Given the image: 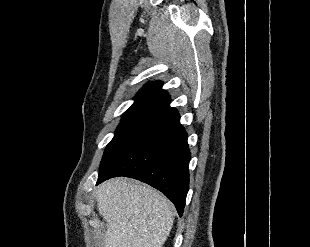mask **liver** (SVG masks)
I'll return each mask as SVG.
<instances>
[{
    "mask_svg": "<svg viewBox=\"0 0 310 247\" xmlns=\"http://www.w3.org/2000/svg\"><path fill=\"white\" fill-rule=\"evenodd\" d=\"M106 221L104 247H163L173 226L169 200L148 185L115 178L96 191Z\"/></svg>",
    "mask_w": 310,
    "mask_h": 247,
    "instance_id": "liver-1",
    "label": "liver"
}]
</instances>
